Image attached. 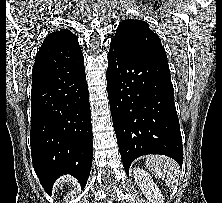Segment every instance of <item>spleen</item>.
I'll use <instances>...</instances> for the list:
<instances>
[{
  "instance_id": "1",
  "label": "spleen",
  "mask_w": 222,
  "mask_h": 203,
  "mask_svg": "<svg viewBox=\"0 0 222 203\" xmlns=\"http://www.w3.org/2000/svg\"><path fill=\"white\" fill-rule=\"evenodd\" d=\"M145 163L152 174L164 180L169 188L178 184L180 168L173 159L162 155H150L146 157Z\"/></svg>"
}]
</instances>
